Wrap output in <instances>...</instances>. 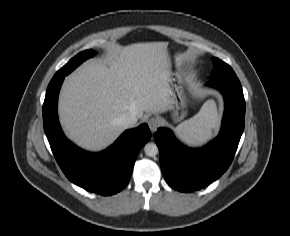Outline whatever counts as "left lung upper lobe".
I'll list each match as a JSON object with an SVG mask.
<instances>
[{"label":"left lung upper lobe","instance_id":"5c2ea615","mask_svg":"<svg viewBox=\"0 0 290 236\" xmlns=\"http://www.w3.org/2000/svg\"><path fill=\"white\" fill-rule=\"evenodd\" d=\"M212 61L214 64V68L211 75L212 78L236 75L233 69L225 62L219 60L218 58H213Z\"/></svg>","mask_w":290,"mask_h":236}]
</instances>
